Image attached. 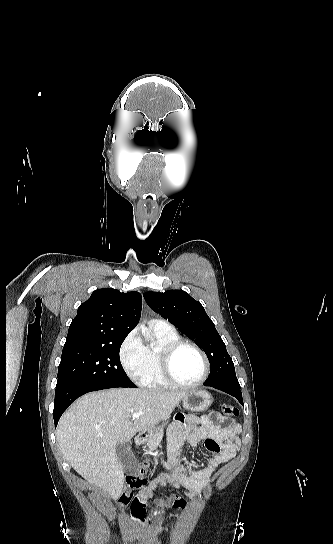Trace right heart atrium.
<instances>
[{
	"label": "right heart atrium",
	"instance_id": "d8ad5b80",
	"mask_svg": "<svg viewBox=\"0 0 333 544\" xmlns=\"http://www.w3.org/2000/svg\"><path fill=\"white\" fill-rule=\"evenodd\" d=\"M118 356L126 375L132 381L139 382L144 369L145 345L136 330H132L124 338Z\"/></svg>",
	"mask_w": 333,
	"mask_h": 544
}]
</instances>
